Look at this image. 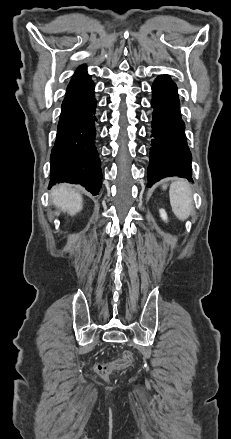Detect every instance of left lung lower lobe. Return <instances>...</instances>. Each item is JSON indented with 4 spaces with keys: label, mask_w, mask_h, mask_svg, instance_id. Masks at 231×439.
<instances>
[{
    "label": "left lung lower lobe",
    "mask_w": 231,
    "mask_h": 439,
    "mask_svg": "<svg viewBox=\"0 0 231 439\" xmlns=\"http://www.w3.org/2000/svg\"><path fill=\"white\" fill-rule=\"evenodd\" d=\"M152 130L148 187L169 176L192 181L191 152L184 133L176 84L167 75H160L152 87Z\"/></svg>",
    "instance_id": "left-lung-lower-lobe-1"
}]
</instances>
